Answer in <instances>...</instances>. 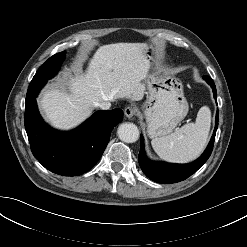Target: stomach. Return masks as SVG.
I'll list each match as a JSON object with an SVG mask.
<instances>
[{
  "instance_id": "0dacf381",
  "label": "stomach",
  "mask_w": 247,
  "mask_h": 247,
  "mask_svg": "<svg viewBox=\"0 0 247 247\" xmlns=\"http://www.w3.org/2000/svg\"><path fill=\"white\" fill-rule=\"evenodd\" d=\"M145 56L149 63L156 61V50L147 46ZM147 99L142 105L148 135L151 138L171 133L187 115L189 105L184 97L183 84L173 74L156 69L146 79Z\"/></svg>"
}]
</instances>
